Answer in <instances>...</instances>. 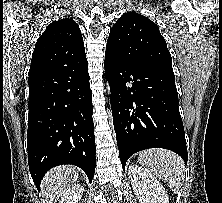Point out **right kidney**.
Listing matches in <instances>:
<instances>
[{
	"mask_svg": "<svg viewBox=\"0 0 222 203\" xmlns=\"http://www.w3.org/2000/svg\"><path fill=\"white\" fill-rule=\"evenodd\" d=\"M84 188L81 184L70 187L64 194L60 203H78L83 194Z\"/></svg>",
	"mask_w": 222,
	"mask_h": 203,
	"instance_id": "obj_1",
	"label": "right kidney"
}]
</instances>
